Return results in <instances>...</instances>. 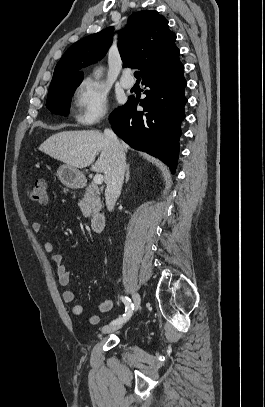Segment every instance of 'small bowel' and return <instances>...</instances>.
Wrapping results in <instances>:
<instances>
[{"mask_svg": "<svg viewBox=\"0 0 265 407\" xmlns=\"http://www.w3.org/2000/svg\"><path fill=\"white\" fill-rule=\"evenodd\" d=\"M32 230L35 233H39L42 230V224L39 221H35L32 223ZM43 249L46 253L51 255V260L56 265V272L58 275V280L60 285L64 287H68L71 282L70 272L68 271L67 267L63 263V257L54 252V246L49 241L43 242ZM76 299V293L73 289H66L63 292V300L66 303H74ZM113 302L111 299H105L102 301L98 308L101 313H107L112 309ZM74 315H81L83 313V306L78 303H74L71 309ZM88 323L91 325H97L99 323V316L97 314H90L87 318Z\"/></svg>", "mask_w": 265, "mask_h": 407, "instance_id": "obj_1", "label": "small bowel"}]
</instances>
